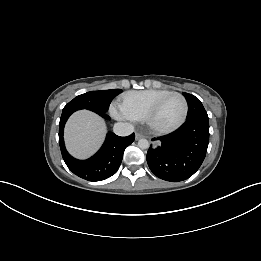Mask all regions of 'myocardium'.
Returning <instances> with one entry per match:
<instances>
[{"label": "myocardium", "mask_w": 261, "mask_h": 261, "mask_svg": "<svg viewBox=\"0 0 261 261\" xmlns=\"http://www.w3.org/2000/svg\"><path fill=\"white\" fill-rule=\"evenodd\" d=\"M171 96H177L179 97L182 102H183V113L182 116L180 118V120L173 126L168 127V128H158L156 126L153 125L152 120L154 115L156 114L157 110L159 109V107L161 106V104L169 97ZM188 102L187 99L185 98V96L179 92H174V91H170L169 93L163 95L162 97H160L158 100H156L153 105L148 109V111L146 112L145 116H144V123L146 124V126L154 133L156 134H169L172 133L174 131H176L177 129H179L184 122L186 121L187 115H188Z\"/></svg>", "instance_id": "1"}]
</instances>
